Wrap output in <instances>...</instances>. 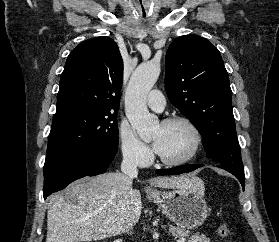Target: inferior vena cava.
<instances>
[{
  "instance_id": "602c4592",
  "label": "inferior vena cava",
  "mask_w": 279,
  "mask_h": 242,
  "mask_svg": "<svg viewBox=\"0 0 279 242\" xmlns=\"http://www.w3.org/2000/svg\"><path fill=\"white\" fill-rule=\"evenodd\" d=\"M121 171L122 173L127 176L130 180L137 177L138 170H137V161L132 154L124 155L123 161L121 163ZM125 191L131 193L132 185L131 183L126 184ZM126 232L129 234L130 228L132 229L133 223L131 219H126ZM131 234V231H130Z\"/></svg>"
}]
</instances>
